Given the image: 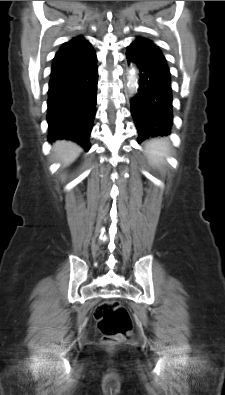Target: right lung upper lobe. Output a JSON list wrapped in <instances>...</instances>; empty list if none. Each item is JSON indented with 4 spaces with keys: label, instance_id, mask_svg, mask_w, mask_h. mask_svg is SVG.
Segmentation results:
<instances>
[{
    "label": "right lung upper lobe",
    "instance_id": "cb5924a9",
    "mask_svg": "<svg viewBox=\"0 0 225 395\" xmlns=\"http://www.w3.org/2000/svg\"><path fill=\"white\" fill-rule=\"evenodd\" d=\"M95 59L91 44L82 36H77L62 44L53 59L51 74L82 68Z\"/></svg>",
    "mask_w": 225,
    "mask_h": 395
}]
</instances>
